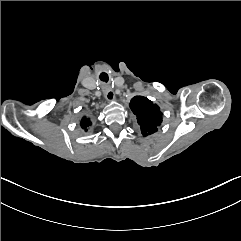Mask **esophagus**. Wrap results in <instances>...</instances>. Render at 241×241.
I'll return each mask as SVG.
<instances>
[{"label": "esophagus", "instance_id": "esophagus-1", "mask_svg": "<svg viewBox=\"0 0 241 241\" xmlns=\"http://www.w3.org/2000/svg\"><path fill=\"white\" fill-rule=\"evenodd\" d=\"M104 95H105V98L108 101H114L115 100V94H114V91L111 88L105 89L104 90Z\"/></svg>", "mask_w": 241, "mask_h": 241}]
</instances>
